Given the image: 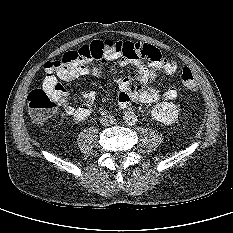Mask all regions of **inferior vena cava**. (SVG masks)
<instances>
[{"label":"inferior vena cava","instance_id":"inferior-vena-cava-1","mask_svg":"<svg viewBox=\"0 0 233 233\" xmlns=\"http://www.w3.org/2000/svg\"><path fill=\"white\" fill-rule=\"evenodd\" d=\"M115 121H116V119L112 115H106L100 119V123L103 126H111L115 123Z\"/></svg>","mask_w":233,"mask_h":233}]
</instances>
